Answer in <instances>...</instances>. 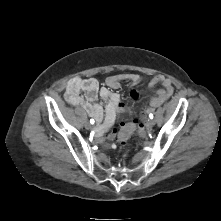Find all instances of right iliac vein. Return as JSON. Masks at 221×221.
I'll return each mask as SVG.
<instances>
[{
	"label": "right iliac vein",
	"mask_w": 221,
	"mask_h": 221,
	"mask_svg": "<svg viewBox=\"0 0 221 221\" xmlns=\"http://www.w3.org/2000/svg\"><path fill=\"white\" fill-rule=\"evenodd\" d=\"M84 126L88 130L91 129V124L89 122H85Z\"/></svg>",
	"instance_id": "1"
}]
</instances>
